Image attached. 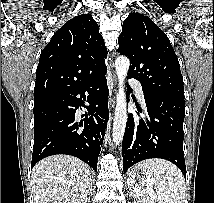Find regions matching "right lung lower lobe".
<instances>
[{
    "label": "right lung lower lobe",
    "instance_id": "right-lung-lower-lobe-1",
    "mask_svg": "<svg viewBox=\"0 0 214 203\" xmlns=\"http://www.w3.org/2000/svg\"><path fill=\"white\" fill-rule=\"evenodd\" d=\"M88 93L89 95L85 96ZM84 101L89 106L84 105ZM87 112L79 117L77 108ZM105 73L74 88L34 100V146L31 168L55 154L75 156L94 170L108 122Z\"/></svg>",
    "mask_w": 214,
    "mask_h": 203
}]
</instances>
